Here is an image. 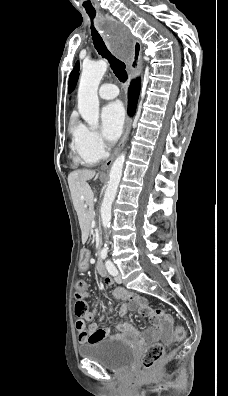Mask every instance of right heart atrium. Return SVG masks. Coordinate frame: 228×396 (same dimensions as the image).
<instances>
[{"label":"right heart atrium","mask_w":228,"mask_h":396,"mask_svg":"<svg viewBox=\"0 0 228 396\" xmlns=\"http://www.w3.org/2000/svg\"><path fill=\"white\" fill-rule=\"evenodd\" d=\"M75 137L81 148L96 159L105 155L107 145L98 131L80 124L76 127Z\"/></svg>","instance_id":"right-heart-atrium-1"}]
</instances>
